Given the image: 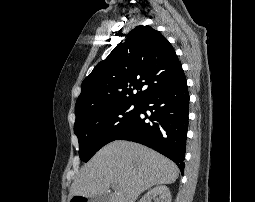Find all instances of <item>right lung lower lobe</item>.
Listing matches in <instances>:
<instances>
[{"instance_id":"obj_1","label":"right lung lower lobe","mask_w":255,"mask_h":202,"mask_svg":"<svg viewBox=\"0 0 255 202\" xmlns=\"http://www.w3.org/2000/svg\"><path fill=\"white\" fill-rule=\"evenodd\" d=\"M188 114L189 94L185 79L145 98L136 118L115 140L146 145L173 160L183 174Z\"/></svg>"}]
</instances>
